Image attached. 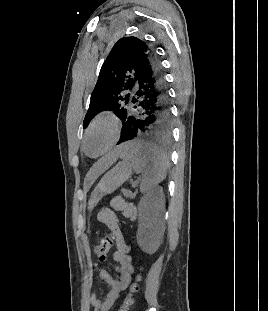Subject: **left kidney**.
Instances as JSON below:
<instances>
[{
    "label": "left kidney",
    "instance_id": "1",
    "mask_svg": "<svg viewBox=\"0 0 268 311\" xmlns=\"http://www.w3.org/2000/svg\"><path fill=\"white\" fill-rule=\"evenodd\" d=\"M164 204L163 190L156 188L145 197L139 208L137 243L148 254L157 251L164 235Z\"/></svg>",
    "mask_w": 268,
    "mask_h": 311
}]
</instances>
